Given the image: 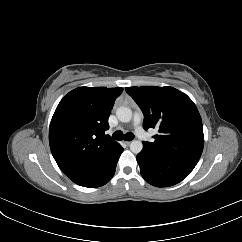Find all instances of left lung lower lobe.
I'll return each instance as SVG.
<instances>
[{
  "label": "left lung lower lobe",
  "instance_id": "left-lung-lower-lobe-1",
  "mask_svg": "<svg viewBox=\"0 0 242 242\" xmlns=\"http://www.w3.org/2000/svg\"><path fill=\"white\" fill-rule=\"evenodd\" d=\"M136 159L142 177L156 187H168L179 183L196 165L171 156H164L145 145Z\"/></svg>",
  "mask_w": 242,
  "mask_h": 242
}]
</instances>
